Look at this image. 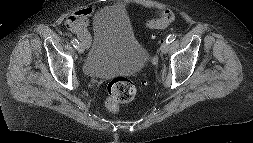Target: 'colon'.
I'll use <instances>...</instances> for the list:
<instances>
[{
	"label": "colon",
	"mask_w": 253,
	"mask_h": 143,
	"mask_svg": "<svg viewBox=\"0 0 253 143\" xmlns=\"http://www.w3.org/2000/svg\"><path fill=\"white\" fill-rule=\"evenodd\" d=\"M158 21L149 22L150 27H157ZM136 94V88L132 82L124 77L113 79L108 85V96L106 100L107 108L110 112L117 111L118 105L133 100Z\"/></svg>",
	"instance_id": "colon-1"
}]
</instances>
